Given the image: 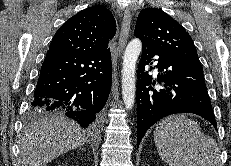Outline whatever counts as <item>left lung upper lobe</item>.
<instances>
[{"mask_svg": "<svg viewBox=\"0 0 231 166\" xmlns=\"http://www.w3.org/2000/svg\"><path fill=\"white\" fill-rule=\"evenodd\" d=\"M134 35L141 40L143 46L169 58L200 62L190 35L160 9H143L137 18Z\"/></svg>", "mask_w": 231, "mask_h": 166, "instance_id": "1", "label": "left lung upper lobe"}]
</instances>
